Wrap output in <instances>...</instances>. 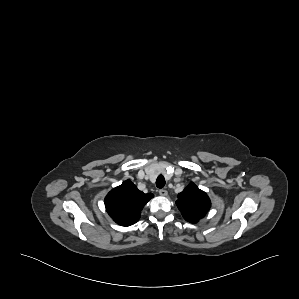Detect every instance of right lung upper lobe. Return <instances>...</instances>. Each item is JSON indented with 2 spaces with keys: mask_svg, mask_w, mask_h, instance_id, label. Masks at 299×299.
<instances>
[{
  "mask_svg": "<svg viewBox=\"0 0 299 299\" xmlns=\"http://www.w3.org/2000/svg\"><path fill=\"white\" fill-rule=\"evenodd\" d=\"M144 194L130 180L112 189L105 198V206L110 217L121 226H130L138 221L145 204L153 197Z\"/></svg>",
  "mask_w": 299,
  "mask_h": 299,
  "instance_id": "1",
  "label": "right lung upper lobe"
}]
</instances>
